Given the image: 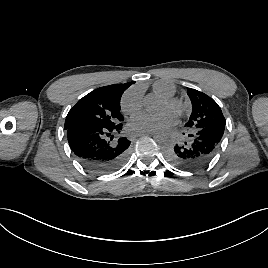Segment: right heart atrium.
<instances>
[{"label": "right heart atrium", "mask_w": 268, "mask_h": 268, "mask_svg": "<svg viewBox=\"0 0 268 268\" xmlns=\"http://www.w3.org/2000/svg\"><path fill=\"white\" fill-rule=\"evenodd\" d=\"M142 96L138 89L128 90L122 97L121 109L126 114H135L142 108Z\"/></svg>", "instance_id": "right-heart-atrium-1"}]
</instances>
